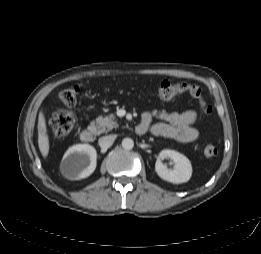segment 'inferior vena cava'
Returning <instances> with one entry per match:
<instances>
[{
    "label": "inferior vena cava",
    "mask_w": 261,
    "mask_h": 254,
    "mask_svg": "<svg viewBox=\"0 0 261 254\" xmlns=\"http://www.w3.org/2000/svg\"><path fill=\"white\" fill-rule=\"evenodd\" d=\"M115 138V135L103 136L98 140L99 146L102 149H108L113 144Z\"/></svg>",
    "instance_id": "inferior-vena-cava-1"
}]
</instances>
